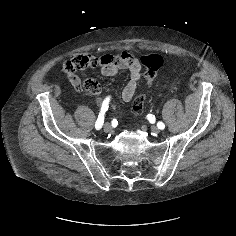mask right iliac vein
<instances>
[{"instance_id": "right-iliac-vein-1", "label": "right iliac vein", "mask_w": 236, "mask_h": 236, "mask_svg": "<svg viewBox=\"0 0 236 236\" xmlns=\"http://www.w3.org/2000/svg\"><path fill=\"white\" fill-rule=\"evenodd\" d=\"M103 129L105 132H110L112 130V126L110 123H105Z\"/></svg>"}]
</instances>
